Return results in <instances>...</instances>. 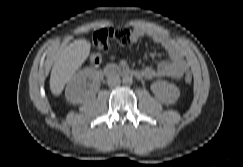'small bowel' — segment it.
Returning a JSON list of instances; mask_svg holds the SVG:
<instances>
[{"mask_svg":"<svg viewBox=\"0 0 243 167\" xmlns=\"http://www.w3.org/2000/svg\"><path fill=\"white\" fill-rule=\"evenodd\" d=\"M142 38H149L159 45L168 54L167 60H162L156 67L147 66L142 69L144 78H173L179 79L188 70L189 64L182 48L162 32L145 28L136 27L133 31L134 41ZM114 57H111L113 60Z\"/></svg>","mask_w":243,"mask_h":167,"instance_id":"c3829d8e","label":"small bowel"}]
</instances>
